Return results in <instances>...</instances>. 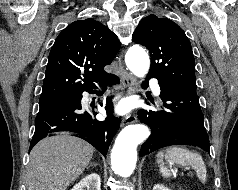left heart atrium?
Here are the masks:
<instances>
[{
	"label": "left heart atrium",
	"instance_id": "obj_1",
	"mask_svg": "<svg viewBox=\"0 0 238 190\" xmlns=\"http://www.w3.org/2000/svg\"><path fill=\"white\" fill-rule=\"evenodd\" d=\"M129 110H130V102L128 100H122L116 106V112L118 114H125Z\"/></svg>",
	"mask_w": 238,
	"mask_h": 190
}]
</instances>
